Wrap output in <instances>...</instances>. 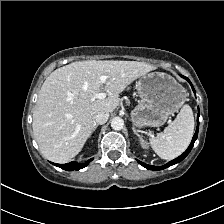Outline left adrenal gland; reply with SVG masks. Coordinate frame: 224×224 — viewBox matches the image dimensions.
Listing matches in <instances>:
<instances>
[{
  "mask_svg": "<svg viewBox=\"0 0 224 224\" xmlns=\"http://www.w3.org/2000/svg\"><path fill=\"white\" fill-rule=\"evenodd\" d=\"M132 129H133L134 134H136V136H137L139 139H142L141 136H140V134L138 133V131L136 130V128H135L134 126L132 127Z\"/></svg>",
  "mask_w": 224,
  "mask_h": 224,
  "instance_id": "obj_1",
  "label": "left adrenal gland"
}]
</instances>
